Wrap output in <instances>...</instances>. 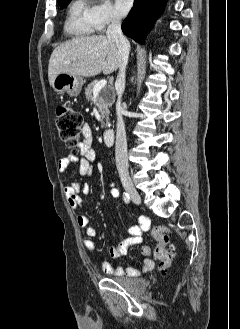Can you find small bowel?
I'll use <instances>...</instances> for the list:
<instances>
[{
	"instance_id": "small-bowel-1",
	"label": "small bowel",
	"mask_w": 240,
	"mask_h": 329,
	"mask_svg": "<svg viewBox=\"0 0 240 329\" xmlns=\"http://www.w3.org/2000/svg\"><path fill=\"white\" fill-rule=\"evenodd\" d=\"M83 139L77 147L79 156L70 154L59 159L58 172L62 175L66 174L69 167L73 164L78 165V172L82 176H91L93 174V163L96 161V152L92 148V130L89 125H84L82 129ZM90 186L87 183L74 182L65 187V196L67 202L72 209L82 207V194H88ZM112 195L117 196V191L112 189ZM77 224L81 228H85L87 239L84 242V248L88 253H92L96 248V229L89 226V217L86 214H79L76 218ZM148 227V220L142 218L139 224L133 225L129 229L130 236L118 245H113L109 248V254L112 258L117 259L124 257L129 248L142 242V234ZM143 261L140 267H124L114 265L110 262L103 261L101 267L107 274L116 276L135 277L141 273H147L154 268V262L149 257L151 249L147 245H142L140 248Z\"/></svg>"
}]
</instances>
